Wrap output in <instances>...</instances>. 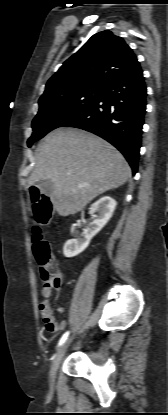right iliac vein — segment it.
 Segmentation results:
<instances>
[{
  "label": "right iliac vein",
  "mask_w": 168,
  "mask_h": 415,
  "mask_svg": "<svg viewBox=\"0 0 168 415\" xmlns=\"http://www.w3.org/2000/svg\"><path fill=\"white\" fill-rule=\"evenodd\" d=\"M71 342V339H68L67 341H65L61 347L58 349L57 353L55 354L54 358H53V362L51 365V370H50V375L53 378L57 372V369L59 367V364L69 346Z\"/></svg>",
  "instance_id": "right-iliac-vein-1"
}]
</instances>
